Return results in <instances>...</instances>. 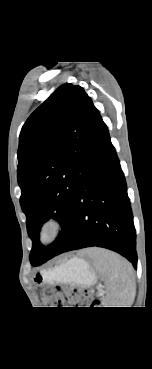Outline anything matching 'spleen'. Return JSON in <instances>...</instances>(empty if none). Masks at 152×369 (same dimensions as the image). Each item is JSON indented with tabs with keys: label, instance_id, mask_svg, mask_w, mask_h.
<instances>
[{
	"label": "spleen",
	"instance_id": "obj_1",
	"mask_svg": "<svg viewBox=\"0 0 152 369\" xmlns=\"http://www.w3.org/2000/svg\"><path fill=\"white\" fill-rule=\"evenodd\" d=\"M91 256L96 269L108 283L104 303L108 307H130L129 300L135 289L131 264L118 254L104 249H93Z\"/></svg>",
	"mask_w": 152,
	"mask_h": 369
}]
</instances>
